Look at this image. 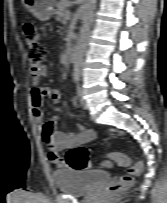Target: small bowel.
Segmentation results:
<instances>
[{"label": "small bowel", "mask_w": 167, "mask_h": 203, "mask_svg": "<svg viewBox=\"0 0 167 203\" xmlns=\"http://www.w3.org/2000/svg\"><path fill=\"white\" fill-rule=\"evenodd\" d=\"M48 75V67L42 65L38 70L30 69V78L33 83L31 89V105L33 116L38 125L42 139L49 152L48 159L57 167H64L66 162L61 156V152L69 150L72 147L85 145L92 142L96 137L93 129L86 128L76 122L79 129L78 133L71 131H57L55 127L63 118L62 115L54 116L50 121H45L42 102L44 97H49L53 105L57 106L61 100V94L57 89L51 87H42L38 85L41 77ZM73 106L79 108L80 105L76 99L73 100ZM105 166H110V162H105Z\"/></svg>", "instance_id": "1"}]
</instances>
